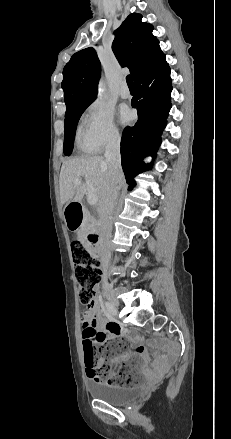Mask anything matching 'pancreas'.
I'll list each match as a JSON object with an SVG mask.
<instances>
[{
    "label": "pancreas",
    "mask_w": 231,
    "mask_h": 439,
    "mask_svg": "<svg viewBox=\"0 0 231 439\" xmlns=\"http://www.w3.org/2000/svg\"><path fill=\"white\" fill-rule=\"evenodd\" d=\"M96 223V219L90 215V213L88 212V210H85V214H84V228L87 229L89 228L91 225Z\"/></svg>",
    "instance_id": "cf45deb5"
}]
</instances>
